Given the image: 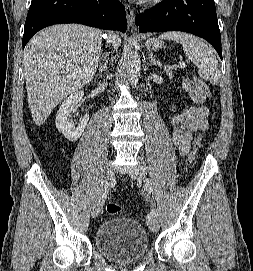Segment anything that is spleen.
Wrapping results in <instances>:
<instances>
[{
  "label": "spleen",
  "mask_w": 253,
  "mask_h": 271,
  "mask_svg": "<svg viewBox=\"0 0 253 271\" xmlns=\"http://www.w3.org/2000/svg\"><path fill=\"white\" fill-rule=\"evenodd\" d=\"M160 39L173 40L182 44L183 51L197 67L201 78L213 84L220 80L218 60L212 49L199 38L179 31H168L160 35Z\"/></svg>",
  "instance_id": "3e777b00"
}]
</instances>
